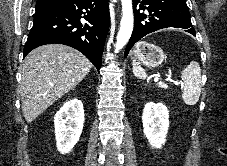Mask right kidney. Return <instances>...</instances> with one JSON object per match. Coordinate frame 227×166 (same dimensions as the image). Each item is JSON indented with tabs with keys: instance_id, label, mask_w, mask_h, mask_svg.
Returning a JSON list of instances; mask_svg holds the SVG:
<instances>
[{
	"instance_id": "obj_1",
	"label": "right kidney",
	"mask_w": 227,
	"mask_h": 166,
	"mask_svg": "<svg viewBox=\"0 0 227 166\" xmlns=\"http://www.w3.org/2000/svg\"><path fill=\"white\" fill-rule=\"evenodd\" d=\"M84 124V109L81 100L64 103L54 117L56 146L61 154L68 153L79 141Z\"/></svg>"
}]
</instances>
